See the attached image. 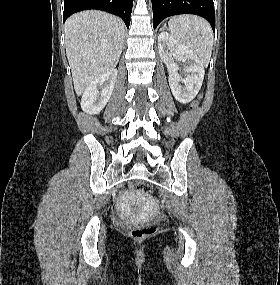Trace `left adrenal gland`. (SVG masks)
<instances>
[{
    "instance_id": "left-adrenal-gland-1",
    "label": "left adrenal gland",
    "mask_w": 280,
    "mask_h": 285,
    "mask_svg": "<svg viewBox=\"0 0 280 285\" xmlns=\"http://www.w3.org/2000/svg\"><path fill=\"white\" fill-rule=\"evenodd\" d=\"M165 28V25L160 29V31H162V29H164Z\"/></svg>"
}]
</instances>
